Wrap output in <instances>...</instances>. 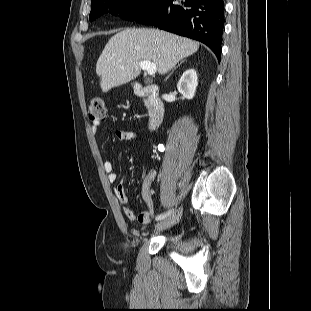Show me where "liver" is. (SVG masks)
Returning a JSON list of instances; mask_svg holds the SVG:
<instances>
[{"label": "liver", "instance_id": "liver-1", "mask_svg": "<svg viewBox=\"0 0 311 311\" xmlns=\"http://www.w3.org/2000/svg\"><path fill=\"white\" fill-rule=\"evenodd\" d=\"M199 43L158 29H125L106 44L96 64L103 92L126 84L141 73L140 61H151L159 74L193 55Z\"/></svg>", "mask_w": 311, "mask_h": 311}]
</instances>
